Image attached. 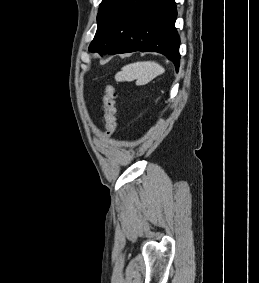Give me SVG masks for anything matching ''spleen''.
I'll list each match as a JSON object with an SVG mask.
<instances>
[{"instance_id":"obj_1","label":"spleen","mask_w":259,"mask_h":283,"mask_svg":"<svg viewBox=\"0 0 259 283\" xmlns=\"http://www.w3.org/2000/svg\"><path fill=\"white\" fill-rule=\"evenodd\" d=\"M164 73V68L154 61H142L126 65L116 75L121 81L137 80V83L144 85L152 79Z\"/></svg>"}]
</instances>
